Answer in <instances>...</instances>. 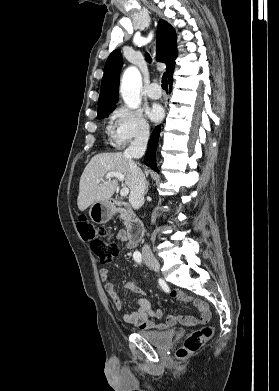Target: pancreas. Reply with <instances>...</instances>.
Here are the masks:
<instances>
[{
  "mask_svg": "<svg viewBox=\"0 0 279 391\" xmlns=\"http://www.w3.org/2000/svg\"><path fill=\"white\" fill-rule=\"evenodd\" d=\"M124 224H125V225L128 224V220H127V219H124Z\"/></svg>",
  "mask_w": 279,
  "mask_h": 391,
  "instance_id": "pancreas-1",
  "label": "pancreas"
}]
</instances>
